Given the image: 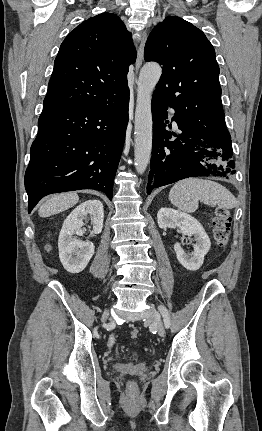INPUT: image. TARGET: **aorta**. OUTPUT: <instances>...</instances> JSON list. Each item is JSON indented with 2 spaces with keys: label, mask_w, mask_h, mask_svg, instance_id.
<instances>
[{
  "label": "aorta",
  "mask_w": 262,
  "mask_h": 431,
  "mask_svg": "<svg viewBox=\"0 0 262 431\" xmlns=\"http://www.w3.org/2000/svg\"><path fill=\"white\" fill-rule=\"evenodd\" d=\"M162 69L157 63L145 64L137 81V100L135 110V167L138 173L146 170L152 149V112L151 99Z\"/></svg>",
  "instance_id": "1"
}]
</instances>
